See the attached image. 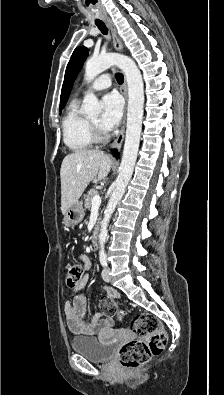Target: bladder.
I'll return each instance as SVG.
<instances>
[{
  "label": "bladder",
  "instance_id": "obj_1",
  "mask_svg": "<svg viewBox=\"0 0 224 395\" xmlns=\"http://www.w3.org/2000/svg\"><path fill=\"white\" fill-rule=\"evenodd\" d=\"M71 347L75 353L83 355L92 362H106L114 354L113 341L103 342L99 337H73Z\"/></svg>",
  "mask_w": 224,
  "mask_h": 395
}]
</instances>
